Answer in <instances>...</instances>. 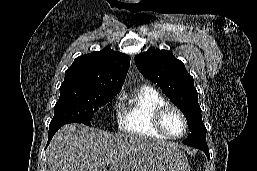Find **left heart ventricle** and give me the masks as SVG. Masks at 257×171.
Listing matches in <instances>:
<instances>
[{
  "label": "left heart ventricle",
  "mask_w": 257,
  "mask_h": 171,
  "mask_svg": "<svg viewBox=\"0 0 257 171\" xmlns=\"http://www.w3.org/2000/svg\"><path fill=\"white\" fill-rule=\"evenodd\" d=\"M163 124L167 132L173 136H178L183 132L184 124L180 115L176 111H169L164 119Z\"/></svg>",
  "instance_id": "left-heart-ventricle-1"
}]
</instances>
